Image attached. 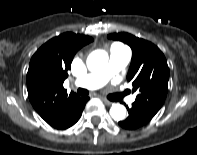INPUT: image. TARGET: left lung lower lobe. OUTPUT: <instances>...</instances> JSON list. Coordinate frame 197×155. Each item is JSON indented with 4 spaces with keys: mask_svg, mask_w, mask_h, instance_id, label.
I'll return each mask as SVG.
<instances>
[{
    "mask_svg": "<svg viewBox=\"0 0 197 155\" xmlns=\"http://www.w3.org/2000/svg\"><path fill=\"white\" fill-rule=\"evenodd\" d=\"M127 110L129 116L124 121L118 122V124L122 128L128 130L137 129L148 123L154 117V114L150 113L136 103H133L131 108H128L127 106Z\"/></svg>",
    "mask_w": 197,
    "mask_h": 155,
    "instance_id": "1",
    "label": "left lung lower lobe"
}]
</instances>
